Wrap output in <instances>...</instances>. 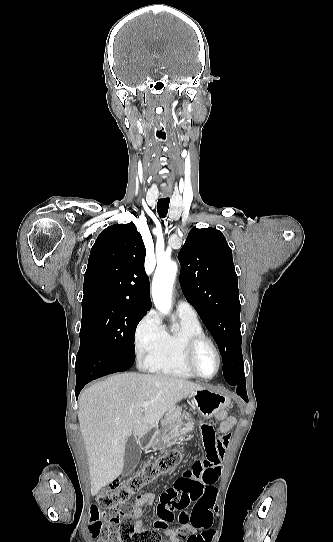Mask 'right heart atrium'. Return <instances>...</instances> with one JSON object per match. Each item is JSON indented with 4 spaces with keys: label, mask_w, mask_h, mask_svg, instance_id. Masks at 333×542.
<instances>
[{
    "label": "right heart atrium",
    "mask_w": 333,
    "mask_h": 542,
    "mask_svg": "<svg viewBox=\"0 0 333 542\" xmlns=\"http://www.w3.org/2000/svg\"><path fill=\"white\" fill-rule=\"evenodd\" d=\"M164 328L154 313H148L137 325L135 330V342L137 351L145 347L154 346L163 339Z\"/></svg>",
    "instance_id": "obj_1"
}]
</instances>
